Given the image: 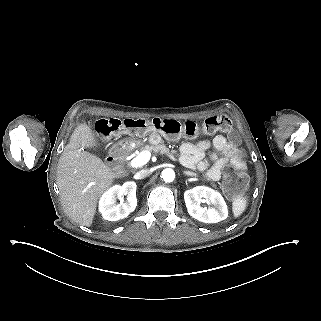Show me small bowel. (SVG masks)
<instances>
[{"instance_id": "1", "label": "small bowel", "mask_w": 321, "mask_h": 321, "mask_svg": "<svg viewBox=\"0 0 321 321\" xmlns=\"http://www.w3.org/2000/svg\"><path fill=\"white\" fill-rule=\"evenodd\" d=\"M159 141L157 136L153 138ZM213 146L215 153L211 155L212 165L210 166L208 160L205 158L206 151ZM233 145L224 136H216L212 142L209 140H202L198 143L184 142L180 147L181 160L184 165L189 168H197L199 171H205L206 176L212 180L217 181L221 177L222 170L230 161ZM242 167H245L243 163Z\"/></svg>"}]
</instances>
